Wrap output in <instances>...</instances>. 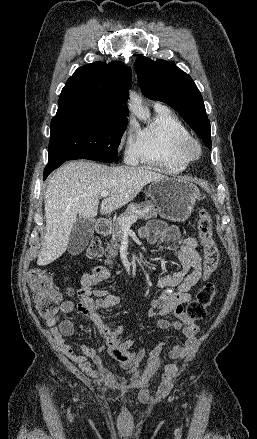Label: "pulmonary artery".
I'll use <instances>...</instances> for the list:
<instances>
[{
  "label": "pulmonary artery",
  "mask_w": 257,
  "mask_h": 439,
  "mask_svg": "<svg viewBox=\"0 0 257 439\" xmlns=\"http://www.w3.org/2000/svg\"><path fill=\"white\" fill-rule=\"evenodd\" d=\"M162 108H165L162 104H159V103L155 104V109L156 110H159V109H162Z\"/></svg>",
  "instance_id": "e3ab8cb5"
}]
</instances>
